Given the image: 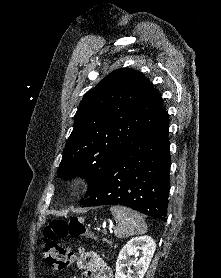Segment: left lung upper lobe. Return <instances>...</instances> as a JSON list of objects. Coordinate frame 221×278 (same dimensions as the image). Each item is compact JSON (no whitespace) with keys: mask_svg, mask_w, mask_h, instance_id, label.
<instances>
[{"mask_svg":"<svg viewBox=\"0 0 221 278\" xmlns=\"http://www.w3.org/2000/svg\"><path fill=\"white\" fill-rule=\"evenodd\" d=\"M165 113L161 95L140 72L113 71L84 95L58 176L87 178L88 196L116 156Z\"/></svg>","mask_w":221,"mask_h":278,"instance_id":"left-lung-upper-lobe-1","label":"left lung upper lobe"}]
</instances>
